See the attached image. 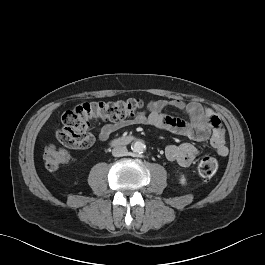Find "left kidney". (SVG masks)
Segmentation results:
<instances>
[{"label":"left kidney","mask_w":265,"mask_h":265,"mask_svg":"<svg viewBox=\"0 0 265 265\" xmlns=\"http://www.w3.org/2000/svg\"><path fill=\"white\" fill-rule=\"evenodd\" d=\"M180 183L183 185L186 183V178L184 177V175L181 176Z\"/></svg>","instance_id":"5707ae66"}]
</instances>
